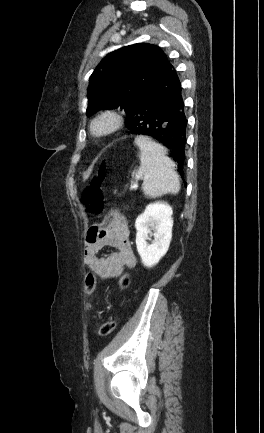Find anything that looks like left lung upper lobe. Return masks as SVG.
Listing matches in <instances>:
<instances>
[{
	"instance_id": "5c2ea615",
	"label": "left lung upper lobe",
	"mask_w": 264,
	"mask_h": 433,
	"mask_svg": "<svg viewBox=\"0 0 264 433\" xmlns=\"http://www.w3.org/2000/svg\"><path fill=\"white\" fill-rule=\"evenodd\" d=\"M167 64L166 54L152 44H133L109 53L90 77L87 115L118 107L127 114Z\"/></svg>"
}]
</instances>
